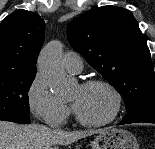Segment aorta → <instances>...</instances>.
<instances>
[{"label":"aorta","instance_id":"1","mask_svg":"<svg viewBox=\"0 0 155 149\" xmlns=\"http://www.w3.org/2000/svg\"><path fill=\"white\" fill-rule=\"evenodd\" d=\"M62 54L63 45L55 40L42 49L38 59L39 72L57 98L68 97L74 86L73 80L64 71Z\"/></svg>","mask_w":155,"mask_h":149}]
</instances>
